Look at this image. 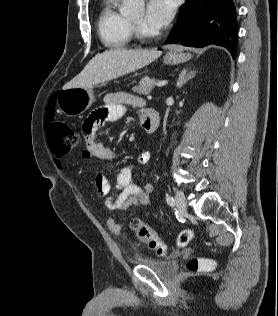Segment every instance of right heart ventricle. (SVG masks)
<instances>
[{"label": "right heart ventricle", "mask_w": 278, "mask_h": 316, "mask_svg": "<svg viewBox=\"0 0 278 316\" xmlns=\"http://www.w3.org/2000/svg\"><path fill=\"white\" fill-rule=\"evenodd\" d=\"M119 0H103L97 28L101 42L112 49L130 44L133 30L130 20L118 10Z\"/></svg>", "instance_id": "1"}]
</instances>
